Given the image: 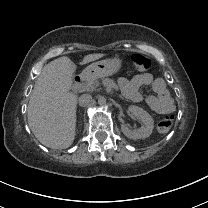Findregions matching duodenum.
I'll list each match as a JSON object with an SVG mask.
<instances>
[{
  "label": "duodenum",
  "instance_id": "1",
  "mask_svg": "<svg viewBox=\"0 0 208 208\" xmlns=\"http://www.w3.org/2000/svg\"><path fill=\"white\" fill-rule=\"evenodd\" d=\"M86 82H87V76H84V75L78 76L74 80V88L76 90H80L85 86Z\"/></svg>",
  "mask_w": 208,
  "mask_h": 208
}]
</instances>
